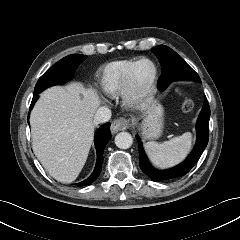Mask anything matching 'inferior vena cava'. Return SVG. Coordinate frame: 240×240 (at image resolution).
<instances>
[{"mask_svg": "<svg viewBox=\"0 0 240 240\" xmlns=\"http://www.w3.org/2000/svg\"><path fill=\"white\" fill-rule=\"evenodd\" d=\"M111 118V110L107 107H100L94 115V124L105 123Z\"/></svg>", "mask_w": 240, "mask_h": 240, "instance_id": "1", "label": "inferior vena cava"}]
</instances>
